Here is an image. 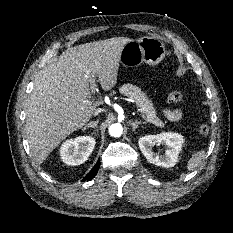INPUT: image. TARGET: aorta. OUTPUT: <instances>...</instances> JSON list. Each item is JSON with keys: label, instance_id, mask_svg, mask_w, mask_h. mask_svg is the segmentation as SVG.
I'll use <instances>...</instances> for the list:
<instances>
[{"label": "aorta", "instance_id": "aorta-1", "mask_svg": "<svg viewBox=\"0 0 233 233\" xmlns=\"http://www.w3.org/2000/svg\"><path fill=\"white\" fill-rule=\"evenodd\" d=\"M123 128L120 124L115 123L109 127V133L113 137H120L122 135Z\"/></svg>", "mask_w": 233, "mask_h": 233}]
</instances>
